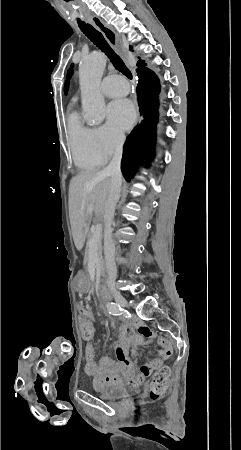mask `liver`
Wrapping results in <instances>:
<instances>
[{"instance_id":"6515ba94","label":"liver","mask_w":241,"mask_h":450,"mask_svg":"<svg viewBox=\"0 0 241 450\" xmlns=\"http://www.w3.org/2000/svg\"><path fill=\"white\" fill-rule=\"evenodd\" d=\"M111 176L101 172H79L70 182L69 212L74 244L82 250L85 242L84 228L92 212L108 222L107 204L110 196ZM92 208V210H91Z\"/></svg>"}]
</instances>
